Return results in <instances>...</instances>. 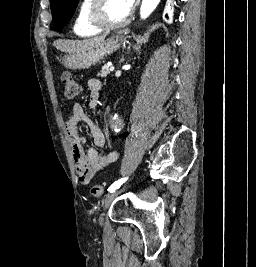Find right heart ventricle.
<instances>
[{"instance_id": "e07e8e85", "label": "right heart ventricle", "mask_w": 256, "mask_h": 267, "mask_svg": "<svg viewBox=\"0 0 256 267\" xmlns=\"http://www.w3.org/2000/svg\"><path fill=\"white\" fill-rule=\"evenodd\" d=\"M87 5L81 10L79 17L73 25V33L76 36H99L103 31L96 29L89 20V13L94 0H86Z\"/></svg>"}]
</instances>
